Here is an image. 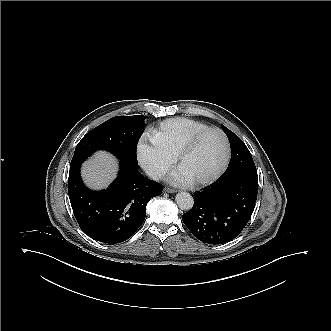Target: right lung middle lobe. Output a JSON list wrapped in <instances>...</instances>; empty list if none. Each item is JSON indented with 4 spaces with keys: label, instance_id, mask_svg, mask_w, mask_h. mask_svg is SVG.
<instances>
[{
    "label": "right lung middle lobe",
    "instance_id": "obj_1",
    "mask_svg": "<svg viewBox=\"0 0 331 331\" xmlns=\"http://www.w3.org/2000/svg\"><path fill=\"white\" fill-rule=\"evenodd\" d=\"M144 119L143 115L116 116L97 126L78 143L71 163L83 161L97 150H107L121 162L138 168L136 147Z\"/></svg>",
    "mask_w": 331,
    "mask_h": 331
}]
</instances>
